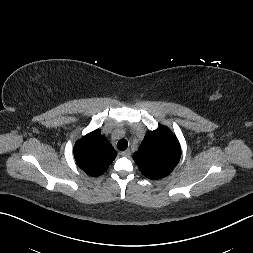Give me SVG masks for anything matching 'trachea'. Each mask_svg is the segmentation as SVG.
Wrapping results in <instances>:
<instances>
[{
	"instance_id": "3493384b",
	"label": "trachea",
	"mask_w": 253,
	"mask_h": 253,
	"mask_svg": "<svg viewBox=\"0 0 253 253\" xmlns=\"http://www.w3.org/2000/svg\"><path fill=\"white\" fill-rule=\"evenodd\" d=\"M128 147V142L126 139H121L118 141L117 143V148L120 150V151H125Z\"/></svg>"
}]
</instances>
